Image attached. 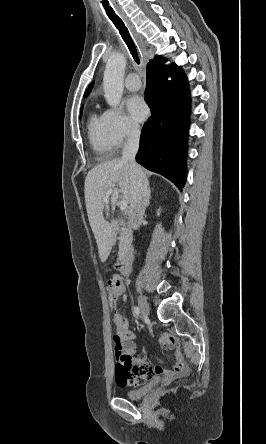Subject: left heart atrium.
Here are the masks:
<instances>
[{
  "mask_svg": "<svg viewBox=\"0 0 266 444\" xmlns=\"http://www.w3.org/2000/svg\"><path fill=\"white\" fill-rule=\"evenodd\" d=\"M127 108L131 116L136 121H143L148 115V107L145 101L139 96H132L127 101Z\"/></svg>",
  "mask_w": 266,
  "mask_h": 444,
  "instance_id": "left-heart-atrium-1",
  "label": "left heart atrium"
}]
</instances>
